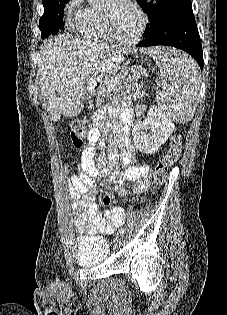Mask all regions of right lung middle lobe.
Listing matches in <instances>:
<instances>
[{
	"mask_svg": "<svg viewBox=\"0 0 227 315\" xmlns=\"http://www.w3.org/2000/svg\"><path fill=\"white\" fill-rule=\"evenodd\" d=\"M70 0H48L44 1V14L39 20L42 38L56 34L63 28V14L65 4Z\"/></svg>",
	"mask_w": 227,
	"mask_h": 315,
	"instance_id": "obj_1",
	"label": "right lung middle lobe"
}]
</instances>
